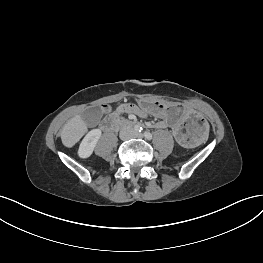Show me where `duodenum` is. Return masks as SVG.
<instances>
[{"mask_svg":"<svg viewBox=\"0 0 263 263\" xmlns=\"http://www.w3.org/2000/svg\"><path fill=\"white\" fill-rule=\"evenodd\" d=\"M134 124L135 123L132 121L120 120L115 116L108 117L104 122L105 127L108 129H115L119 127H129V126H133Z\"/></svg>","mask_w":263,"mask_h":263,"instance_id":"duodenum-1","label":"duodenum"}]
</instances>
